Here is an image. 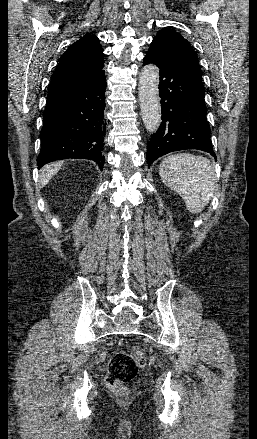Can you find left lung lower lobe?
Returning a JSON list of instances; mask_svg holds the SVG:
<instances>
[{
	"label": "left lung lower lobe",
	"mask_w": 257,
	"mask_h": 439,
	"mask_svg": "<svg viewBox=\"0 0 257 439\" xmlns=\"http://www.w3.org/2000/svg\"><path fill=\"white\" fill-rule=\"evenodd\" d=\"M143 63H153L160 69L162 122L147 143L148 165L167 153L187 149L205 151L216 159L206 120L202 79L183 60L155 42Z\"/></svg>",
	"instance_id": "left-lung-lower-lobe-1"
}]
</instances>
